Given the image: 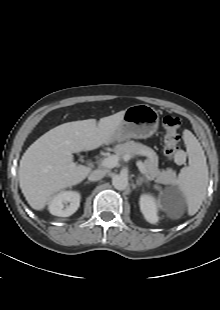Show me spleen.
<instances>
[{"label":"spleen","instance_id":"spleen-1","mask_svg":"<svg viewBox=\"0 0 220 310\" xmlns=\"http://www.w3.org/2000/svg\"><path fill=\"white\" fill-rule=\"evenodd\" d=\"M183 139L187 147L189 166L181 169L176 183L186 199L188 215L193 216L199 210L206 194L208 166L196 137L189 130H184Z\"/></svg>","mask_w":220,"mask_h":310}]
</instances>
